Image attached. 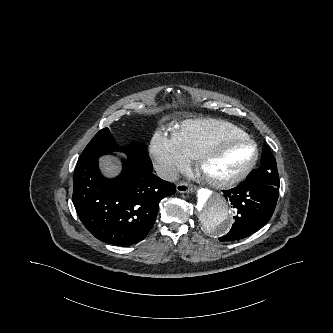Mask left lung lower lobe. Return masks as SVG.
I'll list each match as a JSON object with an SVG mask.
<instances>
[{
	"label": "left lung lower lobe",
	"instance_id": "left-lung-lower-lobe-1",
	"mask_svg": "<svg viewBox=\"0 0 333 333\" xmlns=\"http://www.w3.org/2000/svg\"><path fill=\"white\" fill-rule=\"evenodd\" d=\"M266 144L263 154L269 155ZM225 197L235 208L234 224L228 234L220 241L242 239L267 224L279 196V179H252L249 176L237 187L223 191Z\"/></svg>",
	"mask_w": 333,
	"mask_h": 333
}]
</instances>
